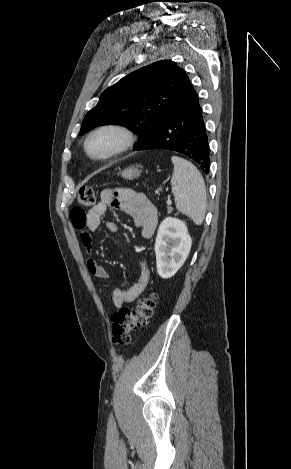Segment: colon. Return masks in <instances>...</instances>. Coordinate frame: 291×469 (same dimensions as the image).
<instances>
[{
    "mask_svg": "<svg viewBox=\"0 0 291 469\" xmlns=\"http://www.w3.org/2000/svg\"><path fill=\"white\" fill-rule=\"evenodd\" d=\"M95 193L90 187H81L78 191L79 206L72 210L73 216L80 217L83 207L93 206L95 204ZM157 296L155 293H149L140 298L136 306L132 309L121 308L112 315V341L119 347L126 346L131 341V333L138 329L146 327L154 313Z\"/></svg>",
    "mask_w": 291,
    "mask_h": 469,
    "instance_id": "obj_1",
    "label": "colon"
}]
</instances>
